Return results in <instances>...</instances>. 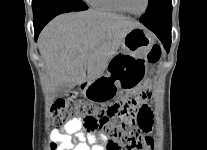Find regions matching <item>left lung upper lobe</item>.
<instances>
[{"instance_id":"5c2ea615","label":"left lung upper lobe","mask_w":207,"mask_h":150,"mask_svg":"<svg viewBox=\"0 0 207 150\" xmlns=\"http://www.w3.org/2000/svg\"><path fill=\"white\" fill-rule=\"evenodd\" d=\"M172 16L171 0H149L148 8L140 22L152 23L170 20Z\"/></svg>"}]
</instances>
